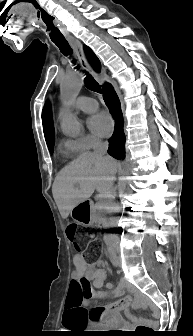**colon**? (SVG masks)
<instances>
[{
    "label": "colon",
    "mask_w": 193,
    "mask_h": 336,
    "mask_svg": "<svg viewBox=\"0 0 193 336\" xmlns=\"http://www.w3.org/2000/svg\"><path fill=\"white\" fill-rule=\"evenodd\" d=\"M82 234L83 231L76 223L67 224L66 236L74 244L76 251L83 257H94L100 248V242L92 237L86 238ZM83 296L85 298L92 297V288L90 285L86 286ZM134 334L135 336H148L151 332L149 328L138 326Z\"/></svg>",
    "instance_id": "colon-1"
}]
</instances>
